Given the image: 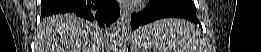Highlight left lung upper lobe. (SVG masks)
<instances>
[{"label": "left lung upper lobe", "mask_w": 261, "mask_h": 52, "mask_svg": "<svg viewBox=\"0 0 261 52\" xmlns=\"http://www.w3.org/2000/svg\"><path fill=\"white\" fill-rule=\"evenodd\" d=\"M187 1L191 2L192 4H194L191 0H187Z\"/></svg>", "instance_id": "left-lung-upper-lobe-1"}]
</instances>
